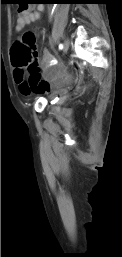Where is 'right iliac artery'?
Listing matches in <instances>:
<instances>
[{"mask_svg": "<svg viewBox=\"0 0 122 257\" xmlns=\"http://www.w3.org/2000/svg\"><path fill=\"white\" fill-rule=\"evenodd\" d=\"M59 49L62 50L63 49V44L59 45Z\"/></svg>", "mask_w": 122, "mask_h": 257, "instance_id": "1", "label": "right iliac artery"}]
</instances>
